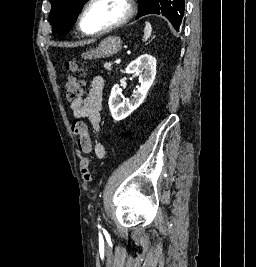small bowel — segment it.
I'll use <instances>...</instances> for the list:
<instances>
[{"mask_svg":"<svg viewBox=\"0 0 256 267\" xmlns=\"http://www.w3.org/2000/svg\"><path fill=\"white\" fill-rule=\"evenodd\" d=\"M104 88V78L100 75L94 76L89 84V88L85 96H80L78 99L71 102V109L75 118H86L96 136L94 146L92 145L91 138H87V147L82 146L80 138L81 150L85 153H90L94 149V153L98 158L105 156V147L100 141V128H101V102L102 91ZM88 133V132H87Z\"/></svg>","mask_w":256,"mask_h":267,"instance_id":"small-bowel-1","label":"small bowel"}]
</instances>
